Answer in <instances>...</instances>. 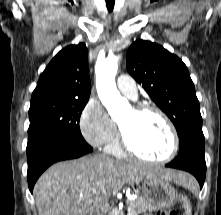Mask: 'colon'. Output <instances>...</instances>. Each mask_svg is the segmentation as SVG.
<instances>
[{
  "label": "colon",
  "instance_id": "1",
  "mask_svg": "<svg viewBox=\"0 0 221 215\" xmlns=\"http://www.w3.org/2000/svg\"><path fill=\"white\" fill-rule=\"evenodd\" d=\"M157 215H177V213L173 211H166V212H160Z\"/></svg>",
  "mask_w": 221,
  "mask_h": 215
}]
</instances>
